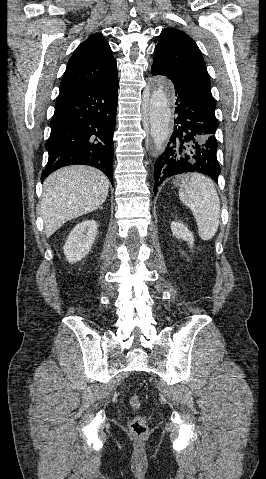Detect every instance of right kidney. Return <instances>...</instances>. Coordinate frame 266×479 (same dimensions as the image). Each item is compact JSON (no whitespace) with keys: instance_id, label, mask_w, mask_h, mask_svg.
Here are the masks:
<instances>
[{"instance_id":"right-kidney-1","label":"right kidney","mask_w":266,"mask_h":479,"mask_svg":"<svg viewBox=\"0 0 266 479\" xmlns=\"http://www.w3.org/2000/svg\"><path fill=\"white\" fill-rule=\"evenodd\" d=\"M97 229L98 224L95 220L80 222L73 228L63 247L68 262L80 261L89 253L95 241Z\"/></svg>"}]
</instances>
